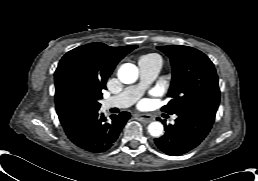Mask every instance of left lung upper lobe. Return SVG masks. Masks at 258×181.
<instances>
[{
	"mask_svg": "<svg viewBox=\"0 0 258 181\" xmlns=\"http://www.w3.org/2000/svg\"><path fill=\"white\" fill-rule=\"evenodd\" d=\"M171 60L172 81L162 107L168 114L192 110L216 112L220 101L218 76L211 60L201 51L188 46H159Z\"/></svg>",
	"mask_w": 258,
	"mask_h": 181,
	"instance_id": "left-lung-upper-lobe-1",
	"label": "left lung upper lobe"
}]
</instances>
